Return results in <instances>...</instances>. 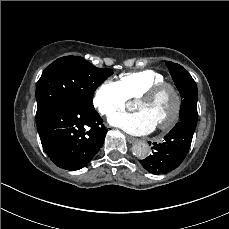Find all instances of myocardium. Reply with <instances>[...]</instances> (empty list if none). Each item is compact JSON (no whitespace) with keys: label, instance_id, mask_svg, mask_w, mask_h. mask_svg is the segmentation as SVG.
Segmentation results:
<instances>
[{"label":"myocardium","instance_id":"myocardium-1","mask_svg":"<svg viewBox=\"0 0 229 229\" xmlns=\"http://www.w3.org/2000/svg\"><path fill=\"white\" fill-rule=\"evenodd\" d=\"M172 89L169 92V105H170V114L165 117L166 124L157 125V129L161 132H168L174 128L178 122L181 120L184 111V99L178 89V87L170 82H163L158 84L150 89H148L143 95L139 97V100L151 101L156 99L164 90ZM178 99V100H177ZM138 100V101H139ZM179 102V103H178Z\"/></svg>","mask_w":229,"mask_h":229}]
</instances>
